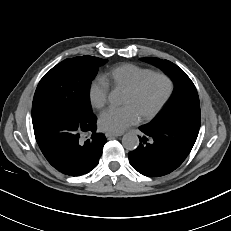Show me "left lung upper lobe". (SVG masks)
<instances>
[{
  "label": "left lung upper lobe",
  "instance_id": "left-lung-upper-lobe-1",
  "mask_svg": "<svg viewBox=\"0 0 231 231\" xmlns=\"http://www.w3.org/2000/svg\"><path fill=\"white\" fill-rule=\"evenodd\" d=\"M166 72L174 81V92L164 112L147 124L153 127H183L199 129L201 124L200 102L197 90L186 75L174 63L155 57L141 58Z\"/></svg>",
  "mask_w": 231,
  "mask_h": 231
}]
</instances>
